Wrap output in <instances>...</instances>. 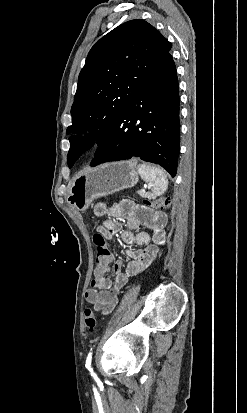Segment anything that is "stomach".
Listing matches in <instances>:
<instances>
[{
	"label": "stomach",
	"instance_id": "1",
	"mask_svg": "<svg viewBox=\"0 0 247 413\" xmlns=\"http://www.w3.org/2000/svg\"><path fill=\"white\" fill-rule=\"evenodd\" d=\"M138 166L134 160L104 162L94 168H86L75 174L69 186L67 202L78 211H85L94 198L112 194L121 188L135 186L138 182Z\"/></svg>",
	"mask_w": 247,
	"mask_h": 413
}]
</instances>
